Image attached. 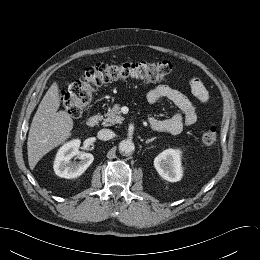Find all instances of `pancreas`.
I'll list each match as a JSON object with an SVG mask.
<instances>
[{
    "label": "pancreas",
    "mask_w": 260,
    "mask_h": 260,
    "mask_svg": "<svg viewBox=\"0 0 260 260\" xmlns=\"http://www.w3.org/2000/svg\"><path fill=\"white\" fill-rule=\"evenodd\" d=\"M121 115V107L119 104H115L107 113L104 114L103 124L104 126H111L115 124H120L123 121Z\"/></svg>",
    "instance_id": "cf45deb5"
}]
</instances>
